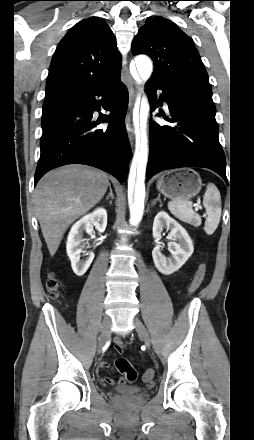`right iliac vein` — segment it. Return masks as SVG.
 I'll list each match as a JSON object with an SVG mask.
<instances>
[{
	"mask_svg": "<svg viewBox=\"0 0 254 440\" xmlns=\"http://www.w3.org/2000/svg\"><path fill=\"white\" fill-rule=\"evenodd\" d=\"M110 326H111V319L109 316H105L102 322V328H101V339L98 345V352L101 353L103 346L108 341L110 336Z\"/></svg>",
	"mask_w": 254,
	"mask_h": 440,
	"instance_id": "obj_1",
	"label": "right iliac vein"
}]
</instances>
